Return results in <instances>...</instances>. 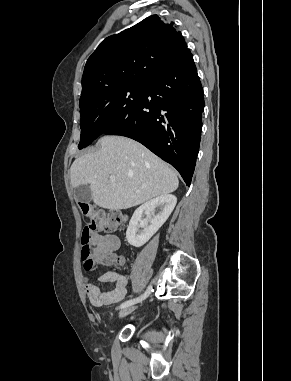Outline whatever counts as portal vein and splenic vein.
I'll return each mask as SVG.
<instances>
[{"instance_id":"obj_1","label":"portal vein and splenic vein","mask_w":291,"mask_h":381,"mask_svg":"<svg viewBox=\"0 0 291 381\" xmlns=\"http://www.w3.org/2000/svg\"><path fill=\"white\" fill-rule=\"evenodd\" d=\"M111 180L114 181L115 179L112 177Z\"/></svg>"}]
</instances>
